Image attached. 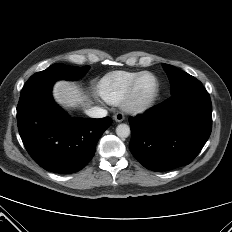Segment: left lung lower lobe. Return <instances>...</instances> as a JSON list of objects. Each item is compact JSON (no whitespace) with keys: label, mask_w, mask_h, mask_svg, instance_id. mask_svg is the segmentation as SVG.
<instances>
[{"label":"left lung lower lobe","mask_w":232,"mask_h":232,"mask_svg":"<svg viewBox=\"0 0 232 232\" xmlns=\"http://www.w3.org/2000/svg\"><path fill=\"white\" fill-rule=\"evenodd\" d=\"M129 123L133 156L149 170H172L191 163L208 140L211 99L203 85L189 87Z\"/></svg>","instance_id":"obj_1"}]
</instances>
